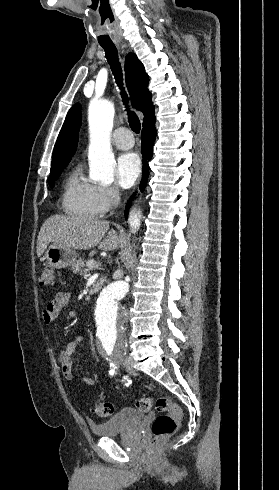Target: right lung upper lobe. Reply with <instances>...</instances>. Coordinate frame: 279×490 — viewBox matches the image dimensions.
<instances>
[{"label": "right lung upper lobe", "mask_w": 279, "mask_h": 490, "mask_svg": "<svg viewBox=\"0 0 279 490\" xmlns=\"http://www.w3.org/2000/svg\"><path fill=\"white\" fill-rule=\"evenodd\" d=\"M126 80L134 107L144 113L143 129L155 126L154 106L148 91L149 78L143 64L135 54L129 53L125 61ZM81 126L80 105L75 104L68 112L58 135L51 170L66 166L74 155Z\"/></svg>", "instance_id": "1"}]
</instances>
